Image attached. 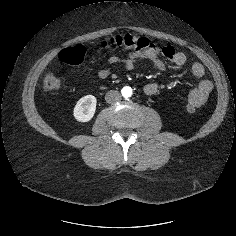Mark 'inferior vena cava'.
<instances>
[{"mask_svg": "<svg viewBox=\"0 0 236 236\" xmlns=\"http://www.w3.org/2000/svg\"><path fill=\"white\" fill-rule=\"evenodd\" d=\"M121 99H122L121 94L116 90H110L105 95L106 102L110 104L119 102Z\"/></svg>", "mask_w": 236, "mask_h": 236, "instance_id": "1", "label": "inferior vena cava"}]
</instances>
